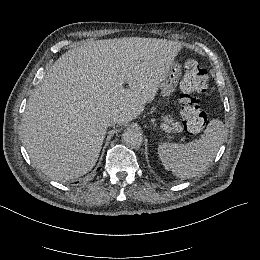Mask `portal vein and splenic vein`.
<instances>
[{
	"instance_id": "portal-vein-and-splenic-vein-1",
	"label": "portal vein and splenic vein",
	"mask_w": 260,
	"mask_h": 260,
	"mask_svg": "<svg viewBox=\"0 0 260 260\" xmlns=\"http://www.w3.org/2000/svg\"><path fill=\"white\" fill-rule=\"evenodd\" d=\"M161 129H162V130H165V131L168 132V133L176 132V130H175L173 127L166 126L165 123H162V124H161Z\"/></svg>"
}]
</instances>
